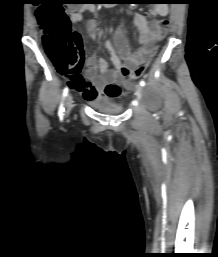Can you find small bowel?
<instances>
[{
    "instance_id": "1",
    "label": "small bowel",
    "mask_w": 218,
    "mask_h": 257,
    "mask_svg": "<svg viewBox=\"0 0 218 257\" xmlns=\"http://www.w3.org/2000/svg\"><path fill=\"white\" fill-rule=\"evenodd\" d=\"M84 12L96 14L97 11L93 5H83L69 11L71 21L81 23ZM152 13L153 15L166 16L168 7L164 4L157 5L153 8ZM131 19L139 32V47L134 52L129 49L124 34V23H122L114 34V41L107 40L105 43L111 54L114 68L110 69L104 59H97L94 55H91L87 59L83 75L80 74L78 78H67L71 88L85 100L89 101L103 97V83H118V85H121L124 77L140 66L153 53L155 44L164 37L167 31L168 22L166 20H148L145 16L136 12L131 14ZM86 31L92 39L97 38L98 25L96 20L93 19L87 23Z\"/></svg>"
}]
</instances>
